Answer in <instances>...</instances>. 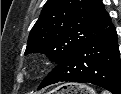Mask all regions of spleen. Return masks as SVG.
<instances>
[{
    "instance_id": "obj_1",
    "label": "spleen",
    "mask_w": 121,
    "mask_h": 94,
    "mask_svg": "<svg viewBox=\"0 0 121 94\" xmlns=\"http://www.w3.org/2000/svg\"><path fill=\"white\" fill-rule=\"evenodd\" d=\"M102 94H108L106 91L102 92Z\"/></svg>"
}]
</instances>
